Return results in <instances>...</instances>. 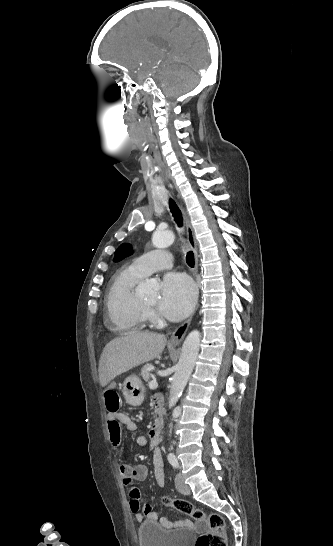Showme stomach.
<instances>
[{"label": "stomach", "mask_w": 333, "mask_h": 546, "mask_svg": "<svg viewBox=\"0 0 333 546\" xmlns=\"http://www.w3.org/2000/svg\"><path fill=\"white\" fill-rule=\"evenodd\" d=\"M123 394L128 404L138 406L144 399V387L141 380L135 376H129L123 383Z\"/></svg>", "instance_id": "1"}]
</instances>
